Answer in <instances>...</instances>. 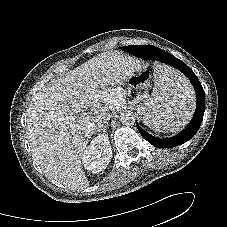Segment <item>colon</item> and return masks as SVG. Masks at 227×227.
<instances>
[{
  "instance_id": "1",
  "label": "colon",
  "mask_w": 227,
  "mask_h": 227,
  "mask_svg": "<svg viewBox=\"0 0 227 227\" xmlns=\"http://www.w3.org/2000/svg\"><path fill=\"white\" fill-rule=\"evenodd\" d=\"M149 79L148 73H142L133 77L132 81L135 85H142L147 83Z\"/></svg>"
}]
</instances>
